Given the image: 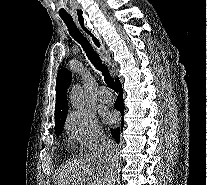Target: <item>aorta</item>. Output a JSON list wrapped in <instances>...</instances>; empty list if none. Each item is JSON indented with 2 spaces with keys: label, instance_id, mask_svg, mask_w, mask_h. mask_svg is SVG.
Segmentation results:
<instances>
[{
  "label": "aorta",
  "instance_id": "aorta-1",
  "mask_svg": "<svg viewBox=\"0 0 207 185\" xmlns=\"http://www.w3.org/2000/svg\"><path fill=\"white\" fill-rule=\"evenodd\" d=\"M72 107L75 109H81L84 107V95L83 89L80 85L76 84L72 86L69 94Z\"/></svg>",
  "mask_w": 207,
  "mask_h": 185
}]
</instances>
